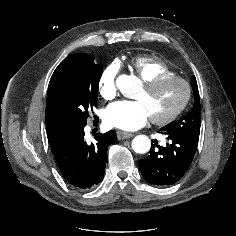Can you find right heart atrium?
Wrapping results in <instances>:
<instances>
[{
	"label": "right heart atrium",
	"mask_w": 236,
	"mask_h": 236,
	"mask_svg": "<svg viewBox=\"0 0 236 236\" xmlns=\"http://www.w3.org/2000/svg\"><path fill=\"white\" fill-rule=\"evenodd\" d=\"M119 69V63L114 61L103 70L99 77V93L103 98L107 100L115 98L117 94V75Z\"/></svg>",
	"instance_id": "right-heart-atrium-1"
}]
</instances>
